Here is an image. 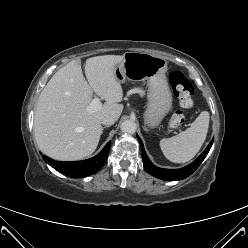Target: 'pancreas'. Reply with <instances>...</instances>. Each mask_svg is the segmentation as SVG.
I'll return each instance as SVG.
<instances>
[{
	"label": "pancreas",
	"instance_id": "1",
	"mask_svg": "<svg viewBox=\"0 0 248 248\" xmlns=\"http://www.w3.org/2000/svg\"><path fill=\"white\" fill-rule=\"evenodd\" d=\"M133 93H138L140 95L144 94V90L142 88H133L129 91V94H133Z\"/></svg>",
	"mask_w": 248,
	"mask_h": 248
}]
</instances>
